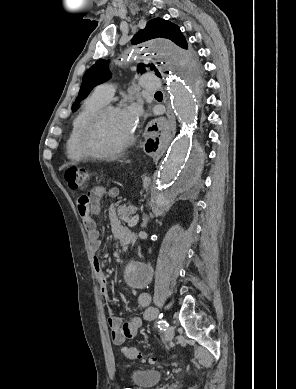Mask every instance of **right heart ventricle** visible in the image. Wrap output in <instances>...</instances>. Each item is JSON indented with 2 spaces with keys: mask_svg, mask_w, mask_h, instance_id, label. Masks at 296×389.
I'll return each mask as SVG.
<instances>
[{
  "mask_svg": "<svg viewBox=\"0 0 296 389\" xmlns=\"http://www.w3.org/2000/svg\"><path fill=\"white\" fill-rule=\"evenodd\" d=\"M106 102L98 98L95 94L90 95L83 103L81 110L75 117L69 136L66 141V155L72 161H82L85 158L81 149V135L89 119L102 107Z\"/></svg>",
  "mask_w": 296,
  "mask_h": 389,
  "instance_id": "obj_1",
  "label": "right heart ventricle"
}]
</instances>
